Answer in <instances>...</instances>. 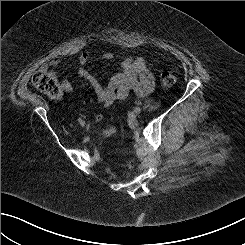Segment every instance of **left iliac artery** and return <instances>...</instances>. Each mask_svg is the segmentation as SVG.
I'll list each match as a JSON object with an SVG mask.
<instances>
[{
	"label": "left iliac artery",
	"instance_id": "obj_1",
	"mask_svg": "<svg viewBox=\"0 0 245 245\" xmlns=\"http://www.w3.org/2000/svg\"><path fill=\"white\" fill-rule=\"evenodd\" d=\"M136 104L141 105V104H142V102H141V101H137V102H136Z\"/></svg>",
	"mask_w": 245,
	"mask_h": 245
}]
</instances>
